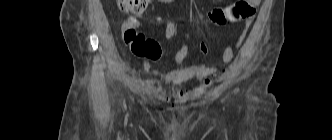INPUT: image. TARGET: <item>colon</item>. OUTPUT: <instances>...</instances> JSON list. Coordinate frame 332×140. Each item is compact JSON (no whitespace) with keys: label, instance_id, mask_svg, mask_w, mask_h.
Returning <instances> with one entry per match:
<instances>
[{"label":"colon","instance_id":"obj_1","mask_svg":"<svg viewBox=\"0 0 332 140\" xmlns=\"http://www.w3.org/2000/svg\"><path fill=\"white\" fill-rule=\"evenodd\" d=\"M261 0H238L236 3L215 8L208 12V21L215 26H224L227 23H235L250 19L254 16ZM150 0H117L119 9L125 14L137 15L142 13L148 6ZM138 23L133 17L127 19L122 25V38L131 51L139 57H147L156 60L161 56L159 44L146 38L137 30ZM182 31V26L176 21H169L164 30L166 38L177 36Z\"/></svg>","mask_w":332,"mask_h":140}]
</instances>
